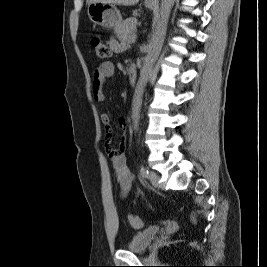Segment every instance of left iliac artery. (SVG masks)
<instances>
[{
  "label": "left iliac artery",
  "mask_w": 267,
  "mask_h": 267,
  "mask_svg": "<svg viewBox=\"0 0 267 267\" xmlns=\"http://www.w3.org/2000/svg\"><path fill=\"white\" fill-rule=\"evenodd\" d=\"M140 174L143 178H147L149 175V171L142 165L140 167Z\"/></svg>",
  "instance_id": "obj_1"
}]
</instances>
